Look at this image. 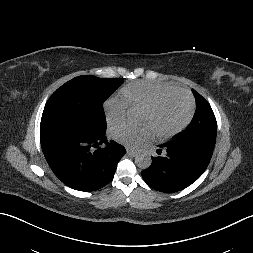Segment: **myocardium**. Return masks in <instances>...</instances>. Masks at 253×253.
Masks as SVG:
<instances>
[{
	"instance_id": "myocardium-1",
	"label": "myocardium",
	"mask_w": 253,
	"mask_h": 253,
	"mask_svg": "<svg viewBox=\"0 0 253 253\" xmlns=\"http://www.w3.org/2000/svg\"><path fill=\"white\" fill-rule=\"evenodd\" d=\"M171 95L183 96L188 102L189 110H188L187 116L179 125H177L176 127H174L168 132L155 133L156 139L160 141L168 140L174 137L175 135H177L178 133H180L181 131H183L191 122L193 115L195 113L196 106H195L194 98L187 91L183 89H173V90H167V91H163L159 93L147 105L143 107V110H146L149 112L153 111L165 97L171 96Z\"/></svg>"
}]
</instances>
